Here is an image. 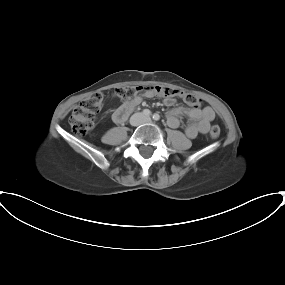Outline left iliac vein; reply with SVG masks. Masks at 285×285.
Wrapping results in <instances>:
<instances>
[{
    "label": "left iliac vein",
    "instance_id": "4c4485c4",
    "mask_svg": "<svg viewBox=\"0 0 285 285\" xmlns=\"http://www.w3.org/2000/svg\"><path fill=\"white\" fill-rule=\"evenodd\" d=\"M150 121H151V119L149 117L144 118V122H150Z\"/></svg>",
    "mask_w": 285,
    "mask_h": 285
}]
</instances>
